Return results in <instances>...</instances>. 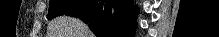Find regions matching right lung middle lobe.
Masks as SVG:
<instances>
[{
    "label": "right lung middle lobe",
    "instance_id": "dd1d6c3e",
    "mask_svg": "<svg viewBox=\"0 0 219 37\" xmlns=\"http://www.w3.org/2000/svg\"><path fill=\"white\" fill-rule=\"evenodd\" d=\"M81 2L82 0H51L47 19L51 20L57 16L64 15Z\"/></svg>",
    "mask_w": 219,
    "mask_h": 37
}]
</instances>
